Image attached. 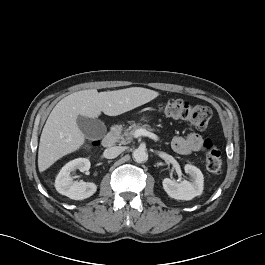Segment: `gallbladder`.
Segmentation results:
<instances>
[{
    "instance_id": "bac80fb5",
    "label": "gallbladder",
    "mask_w": 265,
    "mask_h": 265,
    "mask_svg": "<svg viewBox=\"0 0 265 265\" xmlns=\"http://www.w3.org/2000/svg\"><path fill=\"white\" fill-rule=\"evenodd\" d=\"M77 124L87 139L102 138L106 133V126L99 119L78 116Z\"/></svg>"
}]
</instances>
